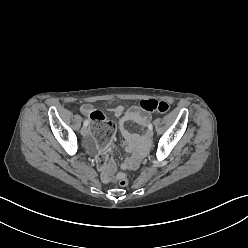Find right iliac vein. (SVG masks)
I'll return each mask as SVG.
<instances>
[{"label":"right iliac vein","mask_w":248,"mask_h":248,"mask_svg":"<svg viewBox=\"0 0 248 248\" xmlns=\"http://www.w3.org/2000/svg\"><path fill=\"white\" fill-rule=\"evenodd\" d=\"M88 133H89V128L83 126L82 129H81V134L83 136H86Z\"/></svg>","instance_id":"right-iliac-vein-1"}]
</instances>
